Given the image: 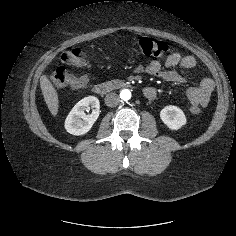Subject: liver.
I'll return each instance as SVG.
<instances>
[{"instance_id":"6515ba94","label":"liver","mask_w":236,"mask_h":236,"mask_svg":"<svg viewBox=\"0 0 236 236\" xmlns=\"http://www.w3.org/2000/svg\"><path fill=\"white\" fill-rule=\"evenodd\" d=\"M40 87L49 111L56 116L59 109L58 93L46 75L41 76Z\"/></svg>"}]
</instances>
